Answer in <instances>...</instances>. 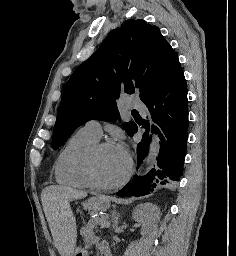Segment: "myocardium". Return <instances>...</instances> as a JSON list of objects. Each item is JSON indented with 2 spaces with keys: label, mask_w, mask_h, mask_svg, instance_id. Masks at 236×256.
I'll list each match as a JSON object with an SVG mask.
<instances>
[{
  "label": "myocardium",
  "mask_w": 236,
  "mask_h": 256,
  "mask_svg": "<svg viewBox=\"0 0 236 256\" xmlns=\"http://www.w3.org/2000/svg\"><path fill=\"white\" fill-rule=\"evenodd\" d=\"M112 146L109 142H103L97 144L90 152L87 160L86 172L89 184L92 188L99 191H112L124 186L131 177L133 162L130 157H127V167L123 176L114 183L104 184L100 182L96 173V160L98 155L106 148Z\"/></svg>",
  "instance_id": "1"
}]
</instances>
